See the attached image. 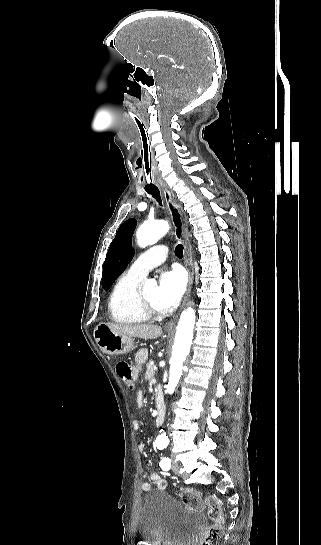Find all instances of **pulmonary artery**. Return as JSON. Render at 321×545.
<instances>
[{
	"label": "pulmonary artery",
	"mask_w": 321,
	"mask_h": 545,
	"mask_svg": "<svg viewBox=\"0 0 321 545\" xmlns=\"http://www.w3.org/2000/svg\"><path fill=\"white\" fill-rule=\"evenodd\" d=\"M160 248H163V245H160ZM166 256L164 250H154V248H150L136 256L135 260L129 266L128 272L135 277L143 279L146 277L149 270L154 266L163 263Z\"/></svg>",
	"instance_id": "1"
}]
</instances>
